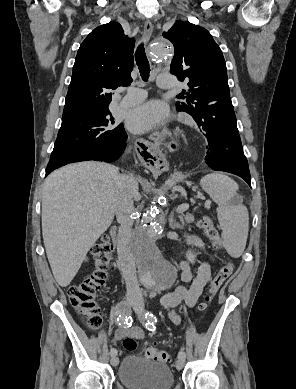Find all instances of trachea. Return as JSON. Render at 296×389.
<instances>
[{
	"label": "trachea",
	"instance_id": "1",
	"mask_svg": "<svg viewBox=\"0 0 296 389\" xmlns=\"http://www.w3.org/2000/svg\"><path fill=\"white\" fill-rule=\"evenodd\" d=\"M135 60L143 81H148L150 74L149 61L146 57L144 45L140 44L135 52Z\"/></svg>",
	"mask_w": 296,
	"mask_h": 389
}]
</instances>
